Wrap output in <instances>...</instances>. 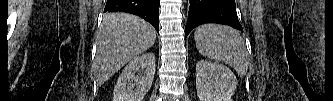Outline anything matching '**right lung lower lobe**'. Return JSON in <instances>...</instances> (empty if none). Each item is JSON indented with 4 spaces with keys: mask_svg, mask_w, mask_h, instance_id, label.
I'll list each match as a JSON object with an SVG mask.
<instances>
[{
    "mask_svg": "<svg viewBox=\"0 0 333 101\" xmlns=\"http://www.w3.org/2000/svg\"><path fill=\"white\" fill-rule=\"evenodd\" d=\"M160 0H107L104 12H127L151 23L159 33Z\"/></svg>",
    "mask_w": 333,
    "mask_h": 101,
    "instance_id": "obj_1",
    "label": "right lung lower lobe"
}]
</instances>
